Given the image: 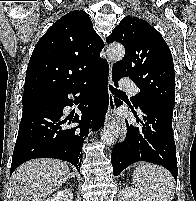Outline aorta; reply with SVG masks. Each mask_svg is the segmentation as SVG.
I'll list each match as a JSON object with an SVG mask.
<instances>
[{
  "label": "aorta",
  "mask_w": 196,
  "mask_h": 201,
  "mask_svg": "<svg viewBox=\"0 0 196 201\" xmlns=\"http://www.w3.org/2000/svg\"><path fill=\"white\" fill-rule=\"evenodd\" d=\"M106 52L109 59L112 61H120L125 54L124 47L121 44L109 45ZM119 134H120V126L117 123L112 122L104 128L103 133L101 135V139L104 142V144L112 146L117 141Z\"/></svg>",
  "instance_id": "762f6f07"
}]
</instances>
